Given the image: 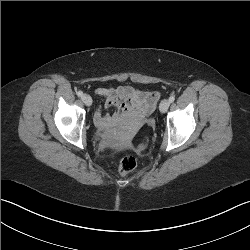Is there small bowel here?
I'll use <instances>...</instances> for the list:
<instances>
[{"mask_svg": "<svg viewBox=\"0 0 250 250\" xmlns=\"http://www.w3.org/2000/svg\"><path fill=\"white\" fill-rule=\"evenodd\" d=\"M94 92L103 99L94 115V121L100 127H109L126 118L143 120L152 113L159 100L158 92L131 86L98 87Z\"/></svg>", "mask_w": 250, "mask_h": 250, "instance_id": "1", "label": "small bowel"}]
</instances>
